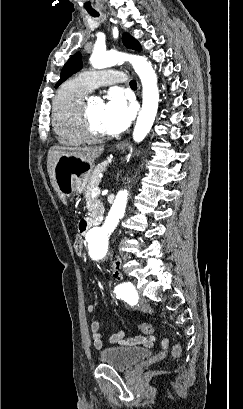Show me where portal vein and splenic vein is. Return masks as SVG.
<instances>
[{
    "mask_svg": "<svg viewBox=\"0 0 243 409\" xmlns=\"http://www.w3.org/2000/svg\"><path fill=\"white\" fill-rule=\"evenodd\" d=\"M100 192H101L100 188H99V187H95V188L93 189V191H92V195H98V194H100Z\"/></svg>",
    "mask_w": 243,
    "mask_h": 409,
    "instance_id": "portal-vein-and-splenic-vein-1",
    "label": "portal vein and splenic vein"
}]
</instances>
